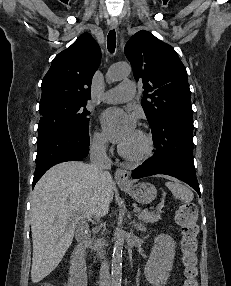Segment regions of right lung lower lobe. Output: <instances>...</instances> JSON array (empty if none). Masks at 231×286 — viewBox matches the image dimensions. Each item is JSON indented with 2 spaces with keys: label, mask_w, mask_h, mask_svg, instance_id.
Returning <instances> with one entry per match:
<instances>
[{
  "label": "right lung lower lobe",
  "mask_w": 231,
  "mask_h": 286,
  "mask_svg": "<svg viewBox=\"0 0 231 286\" xmlns=\"http://www.w3.org/2000/svg\"><path fill=\"white\" fill-rule=\"evenodd\" d=\"M36 170L32 187L52 166L65 161H80L89 153V134L75 129L49 133L37 140Z\"/></svg>",
  "instance_id": "98d812e1"
}]
</instances>
